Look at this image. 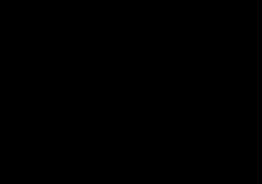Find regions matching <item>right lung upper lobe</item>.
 I'll use <instances>...</instances> for the list:
<instances>
[{
    "instance_id": "1",
    "label": "right lung upper lobe",
    "mask_w": 262,
    "mask_h": 184,
    "mask_svg": "<svg viewBox=\"0 0 262 184\" xmlns=\"http://www.w3.org/2000/svg\"><path fill=\"white\" fill-rule=\"evenodd\" d=\"M115 27L103 20H88L83 22L75 30L67 34L62 40L61 44L78 38H91L97 40L105 34L113 31ZM60 44V45H61Z\"/></svg>"
}]
</instances>
